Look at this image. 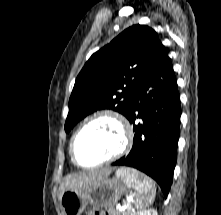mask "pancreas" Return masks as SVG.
I'll list each match as a JSON object with an SVG mask.
<instances>
[{"instance_id": "obj_1", "label": "pancreas", "mask_w": 221, "mask_h": 215, "mask_svg": "<svg viewBox=\"0 0 221 215\" xmlns=\"http://www.w3.org/2000/svg\"><path fill=\"white\" fill-rule=\"evenodd\" d=\"M111 215H135V213L131 210V207L128 205L126 210L119 211L115 208L108 209Z\"/></svg>"}]
</instances>
